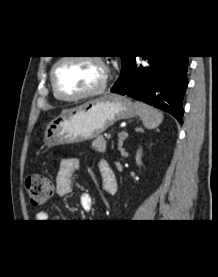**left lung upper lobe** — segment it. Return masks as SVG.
Masks as SVG:
<instances>
[{"label": "left lung upper lobe", "mask_w": 218, "mask_h": 277, "mask_svg": "<svg viewBox=\"0 0 218 277\" xmlns=\"http://www.w3.org/2000/svg\"><path fill=\"white\" fill-rule=\"evenodd\" d=\"M120 57L122 59V69H123L133 56L128 55V56H120Z\"/></svg>", "instance_id": "obj_1"}]
</instances>
